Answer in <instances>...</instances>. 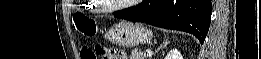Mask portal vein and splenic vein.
I'll use <instances>...</instances> for the list:
<instances>
[{
    "mask_svg": "<svg viewBox=\"0 0 261 59\" xmlns=\"http://www.w3.org/2000/svg\"><path fill=\"white\" fill-rule=\"evenodd\" d=\"M147 55H148V56H151V55H152V51H151V50H148V51H147Z\"/></svg>",
    "mask_w": 261,
    "mask_h": 59,
    "instance_id": "1",
    "label": "portal vein and splenic vein"
}]
</instances>
